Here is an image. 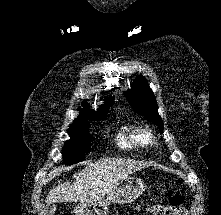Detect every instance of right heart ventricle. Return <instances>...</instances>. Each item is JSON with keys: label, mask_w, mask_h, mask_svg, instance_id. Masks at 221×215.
<instances>
[{"label": "right heart ventricle", "mask_w": 221, "mask_h": 215, "mask_svg": "<svg viewBox=\"0 0 221 215\" xmlns=\"http://www.w3.org/2000/svg\"><path fill=\"white\" fill-rule=\"evenodd\" d=\"M151 134L146 129H137L127 134H121L119 136V144L124 148H130L133 146H145L151 143Z\"/></svg>", "instance_id": "right-heart-ventricle-1"}]
</instances>
